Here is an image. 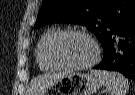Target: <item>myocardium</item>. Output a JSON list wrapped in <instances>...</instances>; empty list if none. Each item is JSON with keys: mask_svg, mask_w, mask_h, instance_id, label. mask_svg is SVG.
<instances>
[{"mask_svg": "<svg viewBox=\"0 0 135 95\" xmlns=\"http://www.w3.org/2000/svg\"><path fill=\"white\" fill-rule=\"evenodd\" d=\"M68 35H79V36L87 38L91 42V44L93 45V48H94V55L91 60H89L86 63L79 64V65H69V64H65V63L61 62L60 60H58V58L55 55V47L62 38H64L65 36H68ZM47 56H48L49 61L58 68L72 70V71L84 70V69L91 67L92 65H94L97 62V60L100 56V48H99V45L96 42V40L87 32L78 30V29H67V30L59 31L50 40V42L48 44V48H47Z\"/></svg>", "mask_w": 135, "mask_h": 95, "instance_id": "1", "label": "myocardium"}]
</instances>
